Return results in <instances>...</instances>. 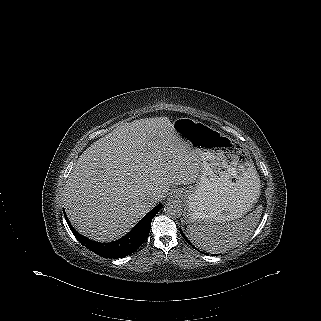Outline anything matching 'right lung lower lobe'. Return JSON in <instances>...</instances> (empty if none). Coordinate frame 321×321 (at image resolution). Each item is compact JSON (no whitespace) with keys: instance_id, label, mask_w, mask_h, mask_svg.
Wrapping results in <instances>:
<instances>
[{"instance_id":"obj_1","label":"right lung lower lobe","mask_w":321,"mask_h":321,"mask_svg":"<svg viewBox=\"0 0 321 321\" xmlns=\"http://www.w3.org/2000/svg\"><path fill=\"white\" fill-rule=\"evenodd\" d=\"M160 208L161 204L157 205L127 235L111 243H98L78 234L70 224L65 212L64 216L76 239L86 248L105 258H121L136 251L148 238L151 221Z\"/></svg>"}]
</instances>
